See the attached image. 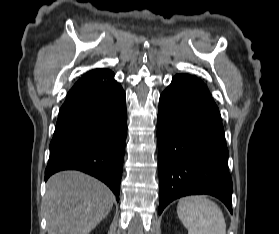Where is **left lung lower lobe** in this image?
<instances>
[{"instance_id": "left-lung-lower-lobe-1", "label": "left lung lower lobe", "mask_w": 279, "mask_h": 234, "mask_svg": "<svg viewBox=\"0 0 279 234\" xmlns=\"http://www.w3.org/2000/svg\"><path fill=\"white\" fill-rule=\"evenodd\" d=\"M160 204L192 194L219 198L232 213V180L219 109L205 84L177 74L161 94L157 123Z\"/></svg>"}]
</instances>
